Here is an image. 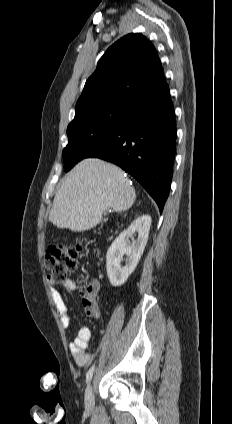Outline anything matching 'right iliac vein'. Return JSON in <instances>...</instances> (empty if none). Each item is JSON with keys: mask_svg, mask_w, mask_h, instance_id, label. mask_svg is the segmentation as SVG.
Instances as JSON below:
<instances>
[{"mask_svg": "<svg viewBox=\"0 0 232 424\" xmlns=\"http://www.w3.org/2000/svg\"><path fill=\"white\" fill-rule=\"evenodd\" d=\"M94 407L93 387L90 383L85 391V408L87 411H92Z\"/></svg>", "mask_w": 232, "mask_h": 424, "instance_id": "63e3f726", "label": "right iliac vein"}]
</instances>
